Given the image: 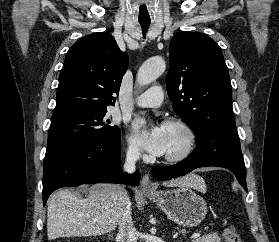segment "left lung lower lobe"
<instances>
[{
	"instance_id": "obj_1",
	"label": "left lung lower lobe",
	"mask_w": 279,
	"mask_h": 242,
	"mask_svg": "<svg viewBox=\"0 0 279 242\" xmlns=\"http://www.w3.org/2000/svg\"><path fill=\"white\" fill-rule=\"evenodd\" d=\"M206 166H218L230 170L236 176L238 182L247 191L246 168L244 164H239L223 158H191L167 167H153L152 173L158 180L168 179L185 175L192 170Z\"/></svg>"
}]
</instances>
